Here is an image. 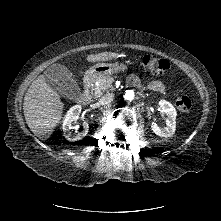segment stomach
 Here are the masks:
<instances>
[{"instance_id":"0dacf381","label":"stomach","mask_w":221,"mask_h":221,"mask_svg":"<svg viewBox=\"0 0 221 221\" xmlns=\"http://www.w3.org/2000/svg\"><path fill=\"white\" fill-rule=\"evenodd\" d=\"M126 69H127V64L125 63H118V62H115L112 64L100 63L91 67L87 71L86 75L90 79H98V78L109 76L114 73H118L120 71H124Z\"/></svg>"}]
</instances>
